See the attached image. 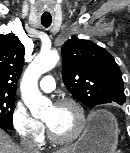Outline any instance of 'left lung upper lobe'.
<instances>
[{
	"label": "left lung upper lobe",
	"mask_w": 130,
	"mask_h": 153,
	"mask_svg": "<svg viewBox=\"0 0 130 153\" xmlns=\"http://www.w3.org/2000/svg\"><path fill=\"white\" fill-rule=\"evenodd\" d=\"M62 77L67 90L87 107L125 103L121 71L107 50L73 36L61 49Z\"/></svg>",
	"instance_id": "1"
}]
</instances>
